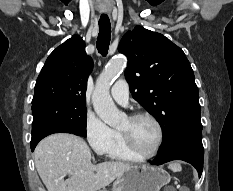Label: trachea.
I'll list each match as a JSON object with an SVG mask.
<instances>
[{"label": "trachea", "instance_id": "trachea-1", "mask_svg": "<svg viewBox=\"0 0 233 191\" xmlns=\"http://www.w3.org/2000/svg\"><path fill=\"white\" fill-rule=\"evenodd\" d=\"M111 38V24L107 15H101L99 19V34L97 37V49L102 56L108 53Z\"/></svg>", "mask_w": 233, "mask_h": 191}]
</instances>
